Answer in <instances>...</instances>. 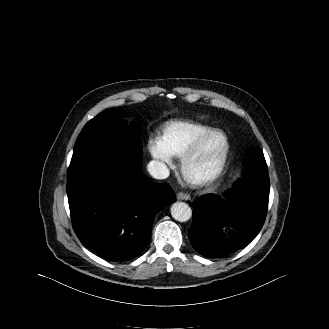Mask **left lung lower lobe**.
Segmentation results:
<instances>
[{
    "instance_id": "1",
    "label": "left lung lower lobe",
    "mask_w": 329,
    "mask_h": 329,
    "mask_svg": "<svg viewBox=\"0 0 329 329\" xmlns=\"http://www.w3.org/2000/svg\"><path fill=\"white\" fill-rule=\"evenodd\" d=\"M244 191L199 197L188 232L193 248L207 257H222L247 246L261 230L268 209L267 165L246 166Z\"/></svg>"
}]
</instances>
